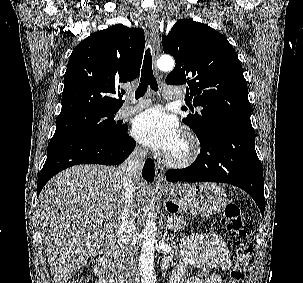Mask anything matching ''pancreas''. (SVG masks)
Here are the masks:
<instances>
[{
  "label": "pancreas",
  "instance_id": "1",
  "mask_svg": "<svg viewBox=\"0 0 303 283\" xmlns=\"http://www.w3.org/2000/svg\"><path fill=\"white\" fill-rule=\"evenodd\" d=\"M171 220H172V228L171 229L173 231L182 230L188 225L187 220L184 219V217L181 216V215H172Z\"/></svg>",
  "mask_w": 303,
  "mask_h": 283
}]
</instances>
